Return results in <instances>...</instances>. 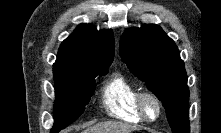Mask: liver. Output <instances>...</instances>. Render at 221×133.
<instances>
[{
  "label": "liver",
  "instance_id": "1",
  "mask_svg": "<svg viewBox=\"0 0 221 133\" xmlns=\"http://www.w3.org/2000/svg\"><path fill=\"white\" fill-rule=\"evenodd\" d=\"M135 127L119 122H103L85 129L82 133H131Z\"/></svg>",
  "mask_w": 221,
  "mask_h": 133
}]
</instances>
